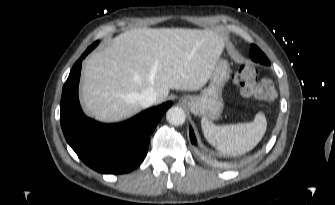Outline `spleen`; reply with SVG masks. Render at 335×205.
Masks as SVG:
<instances>
[{
    "label": "spleen",
    "instance_id": "obj_1",
    "mask_svg": "<svg viewBox=\"0 0 335 205\" xmlns=\"http://www.w3.org/2000/svg\"><path fill=\"white\" fill-rule=\"evenodd\" d=\"M201 127L206 140L217 150L228 156H240L261 141L267 128V120L259 112L253 122L217 126L203 117Z\"/></svg>",
    "mask_w": 335,
    "mask_h": 205
}]
</instances>
